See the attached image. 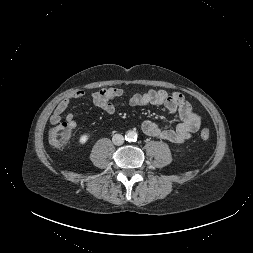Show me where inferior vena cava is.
Segmentation results:
<instances>
[{"label": "inferior vena cava", "instance_id": "1", "mask_svg": "<svg viewBox=\"0 0 253 253\" xmlns=\"http://www.w3.org/2000/svg\"><path fill=\"white\" fill-rule=\"evenodd\" d=\"M112 141L115 145H121L124 142V137L121 134H115L112 137Z\"/></svg>", "mask_w": 253, "mask_h": 253}]
</instances>
